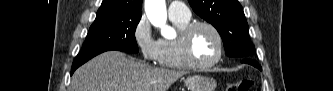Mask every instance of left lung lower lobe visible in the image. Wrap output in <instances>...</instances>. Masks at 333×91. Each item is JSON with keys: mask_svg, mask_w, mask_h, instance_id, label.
Returning <instances> with one entry per match:
<instances>
[{"mask_svg": "<svg viewBox=\"0 0 333 91\" xmlns=\"http://www.w3.org/2000/svg\"><path fill=\"white\" fill-rule=\"evenodd\" d=\"M241 62L243 63H247V64H250V65H253L254 67H257L258 69L261 70V67L258 65V63L256 61H254L252 58H243L241 60Z\"/></svg>", "mask_w": 333, "mask_h": 91, "instance_id": "obj_1", "label": "left lung lower lobe"}]
</instances>
